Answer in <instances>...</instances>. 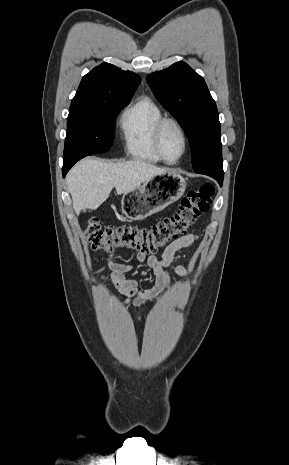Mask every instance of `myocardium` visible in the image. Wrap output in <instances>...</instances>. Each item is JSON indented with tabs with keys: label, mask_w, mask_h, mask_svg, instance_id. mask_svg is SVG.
Listing matches in <instances>:
<instances>
[{
	"label": "myocardium",
	"mask_w": 289,
	"mask_h": 465,
	"mask_svg": "<svg viewBox=\"0 0 289 465\" xmlns=\"http://www.w3.org/2000/svg\"><path fill=\"white\" fill-rule=\"evenodd\" d=\"M169 124L174 125L178 129L183 139V151L174 160L168 159L164 155V152L162 149V138H163L164 129ZM153 140H154V147H155L156 153L158 154V156L160 157L162 161L168 164H175L179 162L188 150L189 141H188L187 133L183 125L174 117L163 116L158 120V122L155 125Z\"/></svg>",
	"instance_id": "obj_1"
}]
</instances>
